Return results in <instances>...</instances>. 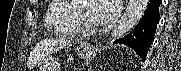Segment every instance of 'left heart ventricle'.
Wrapping results in <instances>:
<instances>
[{
    "label": "left heart ventricle",
    "mask_w": 181,
    "mask_h": 71,
    "mask_svg": "<svg viewBox=\"0 0 181 71\" xmlns=\"http://www.w3.org/2000/svg\"><path fill=\"white\" fill-rule=\"evenodd\" d=\"M82 4H86V14L91 22H97V13H98V6L99 1H90V2H81ZM88 12V13H87Z\"/></svg>",
    "instance_id": "obj_1"
}]
</instances>
